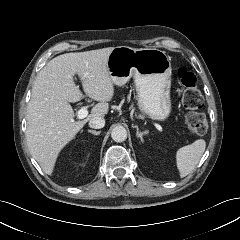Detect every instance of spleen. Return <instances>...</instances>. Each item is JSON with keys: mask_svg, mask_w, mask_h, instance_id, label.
I'll use <instances>...</instances> for the list:
<instances>
[{"mask_svg": "<svg viewBox=\"0 0 240 240\" xmlns=\"http://www.w3.org/2000/svg\"><path fill=\"white\" fill-rule=\"evenodd\" d=\"M206 148V142L198 139L190 145L180 148L176 153V163L180 177L189 175L200 161Z\"/></svg>", "mask_w": 240, "mask_h": 240, "instance_id": "1", "label": "spleen"}]
</instances>
